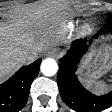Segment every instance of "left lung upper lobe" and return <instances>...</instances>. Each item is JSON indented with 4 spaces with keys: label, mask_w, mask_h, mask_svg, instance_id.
<instances>
[{
    "label": "left lung upper lobe",
    "mask_w": 112,
    "mask_h": 112,
    "mask_svg": "<svg viewBox=\"0 0 112 112\" xmlns=\"http://www.w3.org/2000/svg\"><path fill=\"white\" fill-rule=\"evenodd\" d=\"M106 23L109 24L111 23L112 24V14H107V20H106Z\"/></svg>",
    "instance_id": "left-lung-upper-lobe-1"
}]
</instances>
